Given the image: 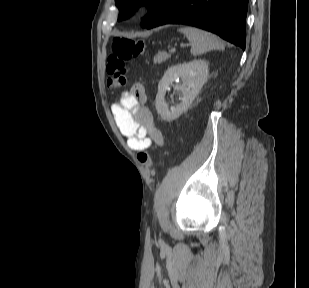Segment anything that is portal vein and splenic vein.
<instances>
[{
    "label": "portal vein and splenic vein",
    "instance_id": "obj_1",
    "mask_svg": "<svg viewBox=\"0 0 309 288\" xmlns=\"http://www.w3.org/2000/svg\"><path fill=\"white\" fill-rule=\"evenodd\" d=\"M176 52V49L175 48H172L171 50H170V53H175Z\"/></svg>",
    "mask_w": 309,
    "mask_h": 288
}]
</instances>
